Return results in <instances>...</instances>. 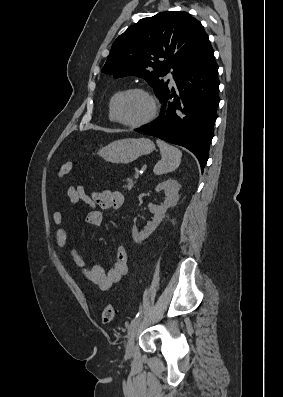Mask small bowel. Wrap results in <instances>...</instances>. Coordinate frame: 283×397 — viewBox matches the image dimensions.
<instances>
[{"label":"small bowel","mask_w":283,"mask_h":397,"mask_svg":"<svg viewBox=\"0 0 283 397\" xmlns=\"http://www.w3.org/2000/svg\"><path fill=\"white\" fill-rule=\"evenodd\" d=\"M67 195L71 205L83 202L88 206L86 222L95 226L102 223L105 211H116L124 204V196L120 192L96 191L89 196L82 185L70 186L67 190ZM52 218L56 225V243L59 248H63L68 238L64 216L60 211H54ZM71 257L73 263L80 268L86 279L101 290L110 289L128 272V255L124 246L117 247L115 262L109 270H105L99 264L87 268L83 255L75 248L71 250Z\"/></svg>","instance_id":"small-bowel-1"}]
</instances>
